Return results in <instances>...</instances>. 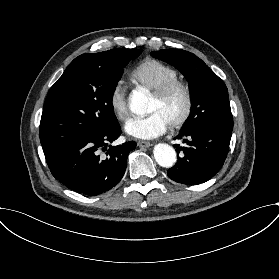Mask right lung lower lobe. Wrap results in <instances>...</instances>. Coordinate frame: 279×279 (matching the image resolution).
<instances>
[{"label":"right lung lower lobe","mask_w":279,"mask_h":279,"mask_svg":"<svg viewBox=\"0 0 279 279\" xmlns=\"http://www.w3.org/2000/svg\"><path fill=\"white\" fill-rule=\"evenodd\" d=\"M121 134L119 123L105 132L91 137L77 138L64 142L45 154L52 175L69 189L95 196L108 191L122 179L130 151L136 142L109 146L105 160L97 154L99 148L116 140Z\"/></svg>","instance_id":"98d812e1"}]
</instances>
